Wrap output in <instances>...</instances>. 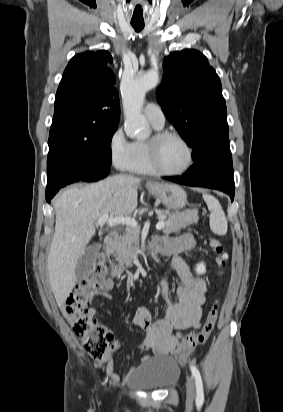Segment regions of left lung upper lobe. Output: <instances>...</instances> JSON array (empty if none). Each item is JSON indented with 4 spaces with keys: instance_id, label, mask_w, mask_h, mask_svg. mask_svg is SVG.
<instances>
[{
    "instance_id": "5c2ea615",
    "label": "left lung upper lobe",
    "mask_w": 283,
    "mask_h": 412,
    "mask_svg": "<svg viewBox=\"0 0 283 412\" xmlns=\"http://www.w3.org/2000/svg\"><path fill=\"white\" fill-rule=\"evenodd\" d=\"M157 100L167 119L193 147L192 157L221 153L232 162L222 86L207 58L196 50L164 59Z\"/></svg>"
}]
</instances>
